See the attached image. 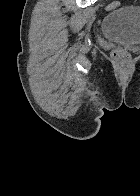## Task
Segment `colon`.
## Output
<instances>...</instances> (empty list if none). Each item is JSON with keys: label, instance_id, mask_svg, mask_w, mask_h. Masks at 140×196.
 Returning <instances> with one entry per match:
<instances>
[{"label": "colon", "instance_id": "5ec220e1", "mask_svg": "<svg viewBox=\"0 0 140 196\" xmlns=\"http://www.w3.org/2000/svg\"><path fill=\"white\" fill-rule=\"evenodd\" d=\"M120 6L121 4L118 1H112L106 5V10L113 11L118 9ZM112 58L118 66L124 67L130 61V53L123 47H116L112 51Z\"/></svg>", "mask_w": 140, "mask_h": 196}]
</instances>
